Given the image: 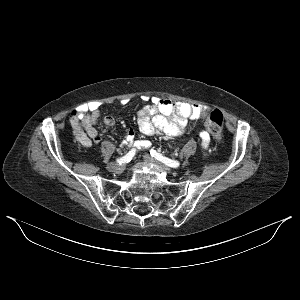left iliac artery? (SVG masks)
Instances as JSON below:
<instances>
[{
    "instance_id": "44dca946",
    "label": "left iliac artery",
    "mask_w": 300,
    "mask_h": 300,
    "mask_svg": "<svg viewBox=\"0 0 300 300\" xmlns=\"http://www.w3.org/2000/svg\"><path fill=\"white\" fill-rule=\"evenodd\" d=\"M150 154L152 157L156 158L157 160L161 161L162 163H164L165 165H167L169 167L177 168L180 165V163L178 161L171 160V159L163 156L162 154L156 152V150H154V149L150 150Z\"/></svg>"
}]
</instances>
